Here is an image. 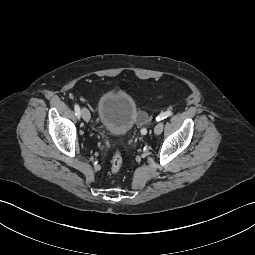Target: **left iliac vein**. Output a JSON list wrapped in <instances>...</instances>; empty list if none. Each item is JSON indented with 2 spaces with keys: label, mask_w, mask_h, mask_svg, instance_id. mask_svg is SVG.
<instances>
[{
  "label": "left iliac vein",
  "mask_w": 255,
  "mask_h": 255,
  "mask_svg": "<svg viewBox=\"0 0 255 255\" xmlns=\"http://www.w3.org/2000/svg\"><path fill=\"white\" fill-rule=\"evenodd\" d=\"M163 123H158L156 126H155V128H154V133L156 134V135H159V134H161L162 133V131H163Z\"/></svg>",
  "instance_id": "obj_1"
}]
</instances>
